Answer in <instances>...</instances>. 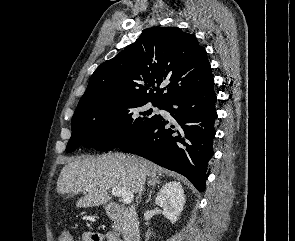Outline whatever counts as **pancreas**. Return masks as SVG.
Instances as JSON below:
<instances>
[{"mask_svg":"<svg viewBox=\"0 0 295 241\" xmlns=\"http://www.w3.org/2000/svg\"><path fill=\"white\" fill-rule=\"evenodd\" d=\"M112 228L114 232H117L118 234H123L126 231V222L124 220L116 221L114 222Z\"/></svg>","mask_w":295,"mask_h":241,"instance_id":"obj_1","label":"pancreas"}]
</instances>
